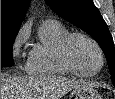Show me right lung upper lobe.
<instances>
[{"label": "right lung upper lobe", "mask_w": 115, "mask_h": 99, "mask_svg": "<svg viewBox=\"0 0 115 99\" xmlns=\"http://www.w3.org/2000/svg\"><path fill=\"white\" fill-rule=\"evenodd\" d=\"M30 0H1V33H18Z\"/></svg>", "instance_id": "cb5924a9"}]
</instances>
